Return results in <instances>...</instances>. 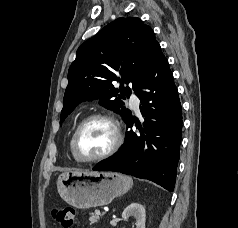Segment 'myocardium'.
I'll list each match as a JSON object with an SVG mask.
<instances>
[{
    "label": "myocardium",
    "instance_id": "f54148a6",
    "mask_svg": "<svg viewBox=\"0 0 238 228\" xmlns=\"http://www.w3.org/2000/svg\"><path fill=\"white\" fill-rule=\"evenodd\" d=\"M93 120H104L108 122L113 128L114 141L112 145L109 147V149L105 151L104 153H102L101 155L93 157V158H81L77 152V140L83 127ZM121 144H122V133H121V128L118 121L110 114H107L104 112H95L83 118L77 125L72 136L71 152L75 160L78 162L94 163V162L102 161L110 157L111 155H113L120 148Z\"/></svg>",
    "mask_w": 238,
    "mask_h": 228
}]
</instances>
